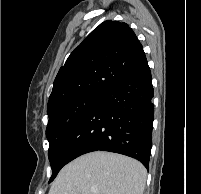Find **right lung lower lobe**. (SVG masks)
Masks as SVG:
<instances>
[{"mask_svg":"<svg viewBox=\"0 0 201 194\" xmlns=\"http://www.w3.org/2000/svg\"><path fill=\"white\" fill-rule=\"evenodd\" d=\"M152 98V77L145 59L102 94L67 131L53 153L59 171L73 159L98 150L135 158L148 169L154 118Z\"/></svg>","mask_w":201,"mask_h":194,"instance_id":"1","label":"right lung lower lobe"}]
</instances>
